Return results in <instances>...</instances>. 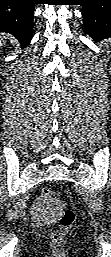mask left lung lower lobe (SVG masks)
Segmentation results:
<instances>
[{
	"label": "left lung lower lobe",
	"mask_w": 111,
	"mask_h": 257,
	"mask_svg": "<svg viewBox=\"0 0 111 257\" xmlns=\"http://www.w3.org/2000/svg\"><path fill=\"white\" fill-rule=\"evenodd\" d=\"M84 30L96 40L111 37V0H84Z\"/></svg>",
	"instance_id": "obj_1"
}]
</instances>
